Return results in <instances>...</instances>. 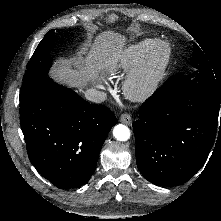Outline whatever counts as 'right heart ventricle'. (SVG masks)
<instances>
[{
	"label": "right heart ventricle",
	"instance_id": "e07e8e85",
	"mask_svg": "<svg viewBox=\"0 0 221 221\" xmlns=\"http://www.w3.org/2000/svg\"><path fill=\"white\" fill-rule=\"evenodd\" d=\"M155 43V39L147 38L131 45L124 57L110 68V72L116 74L121 71H133L143 62Z\"/></svg>",
	"mask_w": 221,
	"mask_h": 221
}]
</instances>
